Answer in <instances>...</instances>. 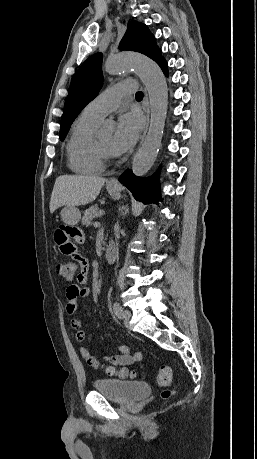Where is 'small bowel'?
<instances>
[{
  "instance_id": "small-bowel-1",
  "label": "small bowel",
  "mask_w": 257,
  "mask_h": 459,
  "mask_svg": "<svg viewBox=\"0 0 257 459\" xmlns=\"http://www.w3.org/2000/svg\"><path fill=\"white\" fill-rule=\"evenodd\" d=\"M83 227H74L73 223H58L57 230L54 233V244L59 248L62 258H65L68 264H81L80 275L77 282L71 284L66 289V313L71 316L70 325L76 332L75 338L78 342L86 340V334L82 329V322L79 318L74 317L80 299L90 296V288L87 286L88 280V256L82 251L78 244H87V235H84ZM119 355H107L105 360L114 365H130L142 359L141 352L131 353L128 346H118ZM80 354L85 362L94 368L100 366V361L91 354L84 346L80 347Z\"/></svg>"
}]
</instances>
